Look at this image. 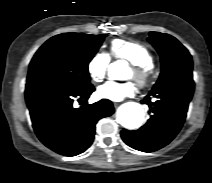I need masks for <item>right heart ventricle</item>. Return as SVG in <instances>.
Segmentation results:
<instances>
[{"label": "right heart ventricle", "instance_id": "obj_1", "mask_svg": "<svg viewBox=\"0 0 212 183\" xmlns=\"http://www.w3.org/2000/svg\"><path fill=\"white\" fill-rule=\"evenodd\" d=\"M110 54L131 64L152 66L154 59L149 49L137 41L115 39L110 44Z\"/></svg>", "mask_w": 212, "mask_h": 183}]
</instances>
